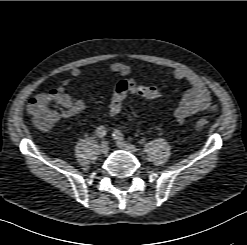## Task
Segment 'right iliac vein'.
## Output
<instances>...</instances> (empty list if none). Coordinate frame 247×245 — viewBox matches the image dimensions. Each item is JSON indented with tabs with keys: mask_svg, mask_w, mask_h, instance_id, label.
Here are the masks:
<instances>
[{
	"mask_svg": "<svg viewBox=\"0 0 247 245\" xmlns=\"http://www.w3.org/2000/svg\"><path fill=\"white\" fill-rule=\"evenodd\" d=\"M100 152L102 153V154H106V153H108V151H109V145H108V142H106V141H103L102 143H101V145H100Z\"/></svg>",
	"mask_w": 247,
	"mask_h": 245,
	"instance_id": "1",
	"label": "right iliac vein"
}]
</instances>
